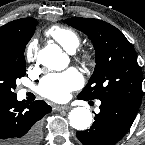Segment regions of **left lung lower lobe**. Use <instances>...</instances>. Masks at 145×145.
<instances>
[{"mask_svg":"<svg viewBox=\"0 0 145 145\" xmlns=\"http://www.w3.org/2000/svg\"><path fill=\"white\" fill-rule=\"evenodd\" d=\"M138 109L123 101H101L95 122L90 129L77 132V137L84 145H115L131 127Z\"/></svg>","mask_w":145,"mask_h":145,"instance_id":"0a47b994","label":"left lung lower lobe"}]
</instances>
